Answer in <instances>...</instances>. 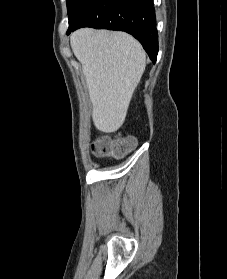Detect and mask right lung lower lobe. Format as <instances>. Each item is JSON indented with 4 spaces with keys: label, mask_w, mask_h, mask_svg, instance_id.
<instances>
[{
    "label": "right lung lower lobe",
    "mask_w": 227,
    "mask_h": 279,
    "mask_svg": "<svg viewBox=\"0 0 227 279\" xmlns=\"http://www.w3.org/2000/svg\"><path fill=\"white\" fill-rule=\"evenodd\" d=\"M81 27L130 33L156 62L158 34L153 0H87L67 34Z\"/></svg>",
    "instance_id": "right-lung-lower-lobe-1"
}]
</instances>
